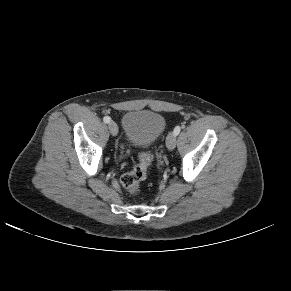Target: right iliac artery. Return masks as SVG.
<instances>
[{"label": "right iliac artery", "instance_id": "82829eb1", "mask_svg": "<svg viewBox=\"0 0 291 291\" xmlns=\"http://www.w3.org/2000/svg\"><path fill=\"white\" fill-rule=\"evenodd\" d=\"M103 120H104L105 123H109L111 121V118L109 116H105L103 118Z\"/></svg>", "mask_w": 291, "mask_h": 291}]
</instances>
